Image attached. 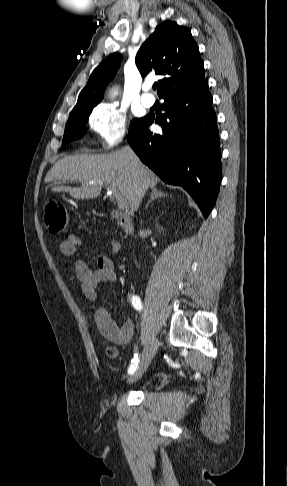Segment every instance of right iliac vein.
I'll use <instances>...</instances> for the list:
<instances>
[{"label":"right iliac vein","instance_id":"right-iliac-vein-1","mask_svg":"<svg viewBox=\"0 0 287 486\" xmlns=\"http://www.w3.org/2000/svg\"><path fill=\"white\" fill-rule=\"evenodd\" d=\"M158 349V339L152 338L146 345L141 359V364L139 369L135 374L129 378V383L135 382L142 377L144 372L147 370L149 364L151 363L153 357L155 356Z\"/></svg>","mask_w":287,"mask_h":486}]
</instances>
